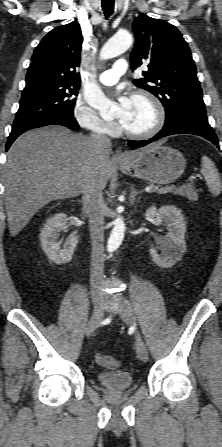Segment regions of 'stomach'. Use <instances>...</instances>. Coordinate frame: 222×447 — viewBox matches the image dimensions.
<instances>
[{
    "mask_svg": "<svg viewBox=\"0 0 222 447\" xmlns=\"http://www.w3.org/2000/svg\"><path fill=\"white\" fill-rule=\"evenodd\" d=\"M117 164L123 173L131 177L168 184L183 174L186 161L176 149L152 144L135 153H129Z\"/></svg>",
    "mask_w": 222,
    "mask_h": 447,
    "instance_id": "stomach-1",
    "label": "stomach"
}]
</instances>
